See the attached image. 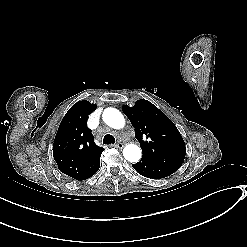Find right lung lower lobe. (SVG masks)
Here are the masks:
<instances>
[{"mask_svg": "<svg viewBox=\"0 0 247 247\" xmlns=\"http://www.w3.org/2000/svg\"><path fill=\"white\" fill-rule=\"evenodd\" d=\"M99 167H100V161L94 166V168L87 175H85L83 178L79 180H86L92 177L98 171Z\"/></svg>", "mask_w": 247, "mask_h": 247, "instance_id": "obj_1", "label": "right lung lower lobe"}]
</instances>
